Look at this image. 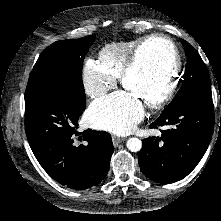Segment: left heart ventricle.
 Masks as SVG:
<instances>
[{"label": "left heart ventricle", "instance_id": "obj_1", "mask_svg": "<svg viewBox=\"0 0 221 221\" xmlns=\"http://www.w3.org/2000/svg\"><path fill=\"white\" fill-rule=\"evenodd\" d=\"M173 64L168 44L162 40L151 41L141 50L125 89L143 104L152 101L156 94L164 91Z\"/></svg>", "mask_w": 221, "mask_h": 221}]
</instances>
